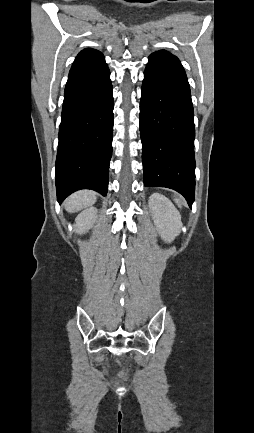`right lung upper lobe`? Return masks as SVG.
<instances>
[{
	"label": "right lung upper lobe",
	"instance_id": "1",
	"mask_svg": "<svg viewBox=\"0 0 254 433\" xmlns=\"http://www.w3.org/2000/svg\"><path fill=\"white\" fill-rule=\"evenodd\" d=\"M103 54L95 49H84L82 50L76 57L75 61L73 62L72 67L74 66H80L84 64L93 63L101 58H103Z\"/></svg>",
	"mask_w": 254,
	"mask_h": 433
}]
</instances>
